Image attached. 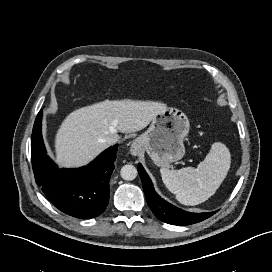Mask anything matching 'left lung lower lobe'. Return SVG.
Listing matches in <instances>:
<instances>
[{"label":"left lung lower lobe","instance_id":"left-lung-lower-lobe-1","mask_svg":"<svg viewBox=\"0 0 272 272\" xmlns=\"http://www.w3.org/2000/svg\"><path fill=\"white\" fill-rule=\"evenodd\" d=\"M138 172L142 180L147 203L151 211L159 220L168 224L182 226L201 222L216 213V211L206 213H189L171 205L155 192L151 179L141 164L138 165Z\"/></svg>","mask_w":272,"mask_h":272}]
</instances>
